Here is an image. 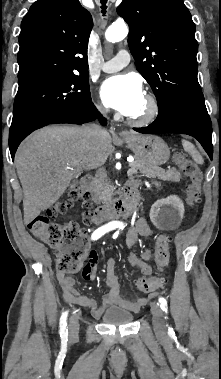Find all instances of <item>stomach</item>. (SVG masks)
<instances>
[{
  "instance_id": "1",
  "label": "stomach",
  "mask_w": 221,
  "mask_h": 379,
  "mask_svg": "<svg viewBox=\"0 0 221 379\" xmlns=\"http://www.w3.org/2000/svg\"><path fill=\"white\" fill-rule=\"evenodd\" d=\"M124 141L134 152L135 157L151 166L165 164L170 157V149L165 141L155 135L129 133Z\"/></svg>"
}]
</instances>
